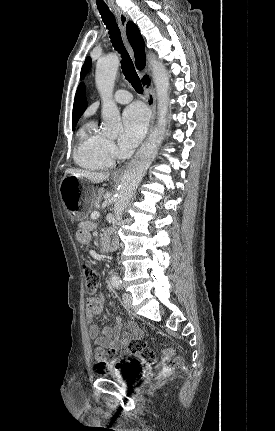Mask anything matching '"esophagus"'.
<instances>
[{
    "label": "esophagus",
    "instance_id": "obj_1",
    "mask_svg": "<svg viewBox=\"0 0 275 431\" xmlns=\"http://www.w3.org/2000/svg\"><path fill=\"white\" fill-rule=\"evenodd\" d=\"M115 14L116 17L118 19V23H119V27L121 30V35H122V39L124 42L125 47L127 48L129 54L131 55V57L134 56L133 53V49L130 46V43L127 39V34H126V27H127V23L129 21L128 16L122 12L120 9H115ZM140 76L141 78L144 76L143 72H140ZM145 100L147 105L149 106L151 113H152V117H151V124H150V131L152 130L154 123H155V119H156V101H155V94H154V90L151 86H147L146 87V95H145ZM126 165H124L123 167H121L120 169L114 171L113 175L115 176H121L124 172Z\"/></svg>",
    "mask_w": 275,
    "mask_h": 431
}]
</instances>
